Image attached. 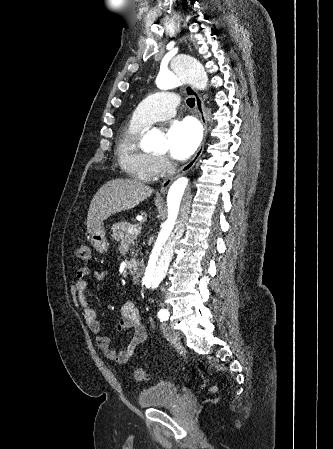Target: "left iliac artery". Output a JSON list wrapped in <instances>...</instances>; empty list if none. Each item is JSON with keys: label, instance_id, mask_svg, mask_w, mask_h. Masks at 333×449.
Returning <instances> with one entry per match:
<instances>
[{"label": "left iliac artery", "instance_id": "left-iliac-artery-1", "mask_svg": "<svg viewBox=\"0 0 333 449\" xmlns=\"http://www.w3.org/2000/svg\"><path fill=\"white\" fill-rule=\"evenodd\" d=\"M168 317H169V312H168L166 309H161V310L158 312V318H159V320H160L161 322L167 320Z\"/></svg>", "mask_w": 333, "mask_h": 449}]
</instances>
